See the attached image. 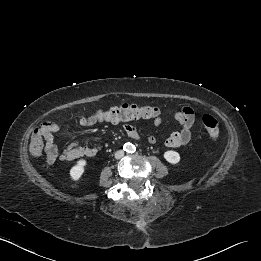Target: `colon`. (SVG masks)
I'll return each instance as SVG.
<instances>
[{"label":"colon","mask_w":261,"mask_h":261,"mask_svg":"<svg viewBox=\"0 0 261 261\" xmlns=\"http://www.w3.org/2000/svg\"><path fill=\"white\" fill-rule=\"evenodd\" d=\"M162 114V111L154 106H136L123 104L108 110L99 111L96 115L98 119L118 122V121H134L139 119L156 118ZM202 123L206 130L207 136L211 141H216L220 136V127L218 120L212 115L206 114L202 117ZM48 130L43 125L38 127L31 136L29 149L32 155L40 156L46 141Z\"/></svg>","instance_id":"5ec220e1"}]
</instances>
